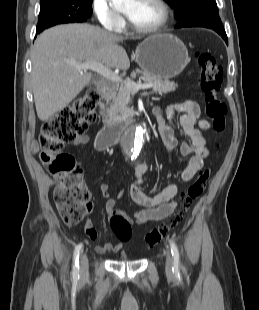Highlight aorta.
<instances>
[{
	"instance_id": "762f6f07",
	"label": "aorta",
	"mask_w": 259,
	"mask_h": 310,
	"mask_svg": "<svg viewBox=\"0 0 259 310\" xmlns=\"http://www.w3.org/2000/svg\"><path fill=\"white\" fill-rule=\"evenodd\" d=\"M112 6L120 10L132 0H109ZM126 148L129 152L138 154L143 145V129L138 127L135 132H129L125 138Z\"/></svg>"
}]
</instances>
